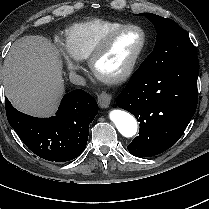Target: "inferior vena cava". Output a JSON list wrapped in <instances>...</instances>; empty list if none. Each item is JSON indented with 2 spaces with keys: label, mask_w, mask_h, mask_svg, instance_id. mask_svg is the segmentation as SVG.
I'll return each instance as SVG.
<instances>
[{
  "label": "inferior vena cava",
  "mask_w": 209,
  "mask_h": 209,
  "mask_svg": "<svg viewBox=\"0 0 209 209\" xmlns=\"http://www.w3.org/2000/svg\"><path fill=\"white\" fill-rule=\"evenodd\" d=\"M69 78H70V81L75 84V85H82L84 86L86 84V80L80 76V75H77L75 73H71L69 75Z\"/></svg>",
  "instance_id": "inferior-vena-cava-1"
}]
</instances>
